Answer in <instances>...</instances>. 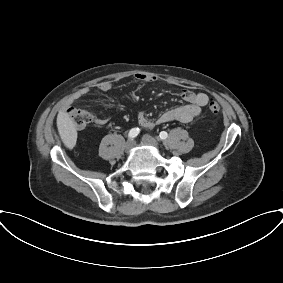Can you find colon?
<instances>
[{
  "label": "colon",
  "mask_w": 283,
  "mask_h": 283,
  "mask_svg": "<svg viewBox=\"0 0 283 283\" xmlns=\"http://www.w3.org/2000/svg\"><path fill=\"white\" fill-rule=\"evenodd\" d=\"M208 109L210 113L216 115L220 111V106L215 100L211 99L208 102ZM66 117L77 129H84L92 122V114L88 110L77 106H70L66 110Z\"/></svg>",
  "instance_id": "1"
}]
</instances>
